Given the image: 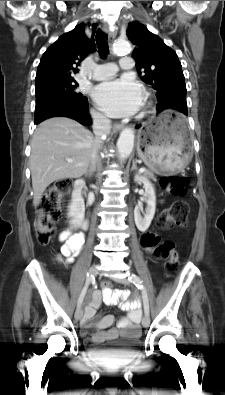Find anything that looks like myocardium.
Masks as SVG:
<instances>
[{"mask_svg": "<svg viewBox=\"0 0 225 395\" xmlns=\"http://www.w3.org/2000/svg\"><path fill=\"white\" fill-rule=\"evenodd\" d=\"M149 99L147 94L144 95L143 103H142V110L145 111L149 106Z\"/></svg>", "mask_w": 225, "mask_h": 395, "instance_id": "myocardium-1", "label": "myocardium"}]
</instances>
